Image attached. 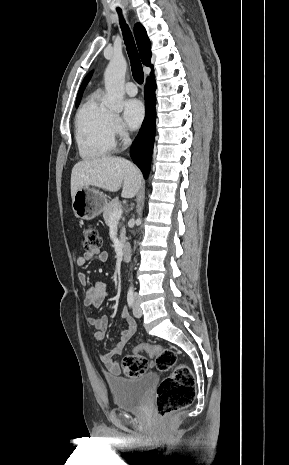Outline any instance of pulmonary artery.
Segmentation results:
<instances>
[{
    "mask_svg": "<svg viewBox=\"0 0 289 465\" xmlns=\"http://www.w3.org/2000/svg\"><path fill=\"white\" fill-rule=\"evenodd\" d=\"M125 92L129 96H135L137 94V87L133 82H127L125 84Z\"/></svg>",
    "mask_w": 289,
    "mask_h": 465,
    "instance_id": "pulmonary-artery-1",
    "label": "pulmonary artery"
}]
</instances>
